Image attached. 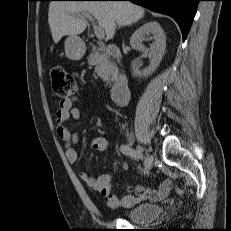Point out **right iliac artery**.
I'll list each match as a JSON object with an SVG mask.
<instances>
[{
  "mask_svg": "<svg viewBox=\"0 0 231 231\" xmlns=\"http://www.w3.org/2000/svg\"><path fill=\"white\" fill-rule=\"evenodd\" d=\"M120 151L127 156H131L134 157L136 159H143V154L141 152L140 149H133L131 148L129 145H121L120 146ZM149 167H147V165L144 166V174H148L149 173Z\"/></svg>",
  "mask_w": 231,
  "mask_h": 231,
  "instance_id": "1",
  "label": "right iliac artery"
}]
</instances>
